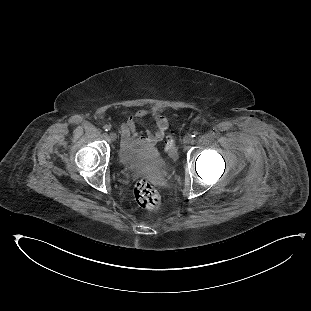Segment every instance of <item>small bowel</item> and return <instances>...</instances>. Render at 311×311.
<instances>
[{"label": "small bowel", "mask_w": 311, "mask_h": 311, "mask_svg": "<svg viewBox=\"0 0 311 311\" xmlns=\"http://www.w3.org/2000/svg\"><path fill=\"white\" fill-rule=\"evenodd\" d=\"M144 118L155 126L154 131L146 133H138L136 131L137 122ZM167 128L168 119L158 109H138L121 125L123 147L125 150L138 147H153L162 141Z\"/></svg>", "instance_id": "obj_1"}]
</instances>
